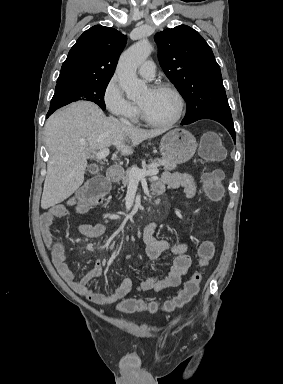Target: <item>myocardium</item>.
<instances>
[{"label":"myocardium","instance_id":"1","mask_svg":"<svg viewBox=\"0 0 283 384\" xmlns=\"http://www.w3.org/2000/svg\"><path fill=\"white\" fill-rule=\"evenodd\" d=\"M150 89L169 91L175 97V99L177 101V112H176V115L171 120H169L167 122H162V123L161 122H155V121L150 120L148 117H146L141 106L138 104L139 116H140L141 120L147 126L152 127V128H156V129H167V128H170V127L174 126L175 124H177L181 120V118L183 116V112H184V99H183V96L181 95V93L179 92V90L176 87H174L173 85H171L169 83H165V82L154 84V85L150 86Z\"/></svg>","mask_w":283,"mask_h":384}]
</instances>
